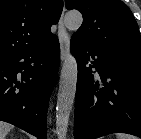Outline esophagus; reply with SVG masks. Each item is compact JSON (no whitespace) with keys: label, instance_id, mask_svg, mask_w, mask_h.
<instances>
[{"label":"esophagus","instance_id":"1","mask_svg":"<svg viewBox=\"0 0 141 139\" xmlns=\"http://www.w3.org/2000/svg\"><path fill=\"white\" fill-rule=\"evenodd\" d=\"M64 12H65V6L63 8V11L58 23V38L60 43L62 62H64V60L66 59L69 52V46H70L69 34L64 26Z\"/></svg>","mask_w":141,"mask_h":139}]
</instances>
